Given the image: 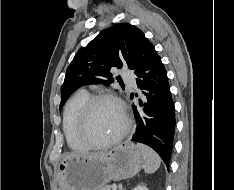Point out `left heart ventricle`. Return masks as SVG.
Wrapping results in <instances>:
<instances>
[{"label": "left heart ventricle", "mask_w": 234, "mask_h": 190, "mask_svg": "<svg viewBox=\"0 0 234 190\" xmlns=\"http://www.w3.org/2000/svg\"><path fill=\"white\" fill-rule=\"evenodd\" d=\"M123 126V114L116 104L104 101L95 105L89 121V134L93 140L97 142L108 140Z\"/></svg>", "instance_id": "obj_1"}]
</instances>
